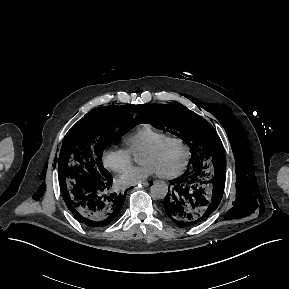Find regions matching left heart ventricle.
I'll list each match as a JSON object with an SVG mask.
<instances>
[{
    "label": "left heart ventricle",
    "instance_id": "1",
    "mask_svg": "<svg viewBox=\"0 0 289 289\" xmlns=\"http://www.w3.org/2000/svg\"><path fill=\"white\" fill-rule=\"evenodd\" d=\"M185 158V151L181 144L168 142L154 153H140L139 163L152 165L158 173H169L178 169Z\"/></svg>",
    "mask_w": 289,
    "mask_h": 289
}]
</instances>
